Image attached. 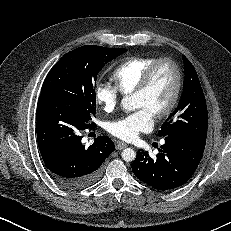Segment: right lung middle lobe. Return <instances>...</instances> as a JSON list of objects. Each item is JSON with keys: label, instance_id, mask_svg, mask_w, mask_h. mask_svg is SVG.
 Returning a JSON list of instances; mask_svg holds the SVG:
<instances>
[{"label": "right lung middle lobe", "instance_id": "right-lung-middle-lobe-1", "mask_svg": "<svg viewBox=\"0 0 231 231\" xmlns=\"http://www.w3.org/2000/svg\"><path fill=\"white\" fill-rule=\"evenodd\" d=\"M126 51L86 45L66 53L47 74L40 96L61 100L85 123H91L96 112L97 75L106 63Z\"/></svg>", "mask_w": 231, "mask_h": 231}]
</instances>
